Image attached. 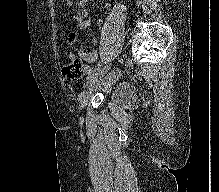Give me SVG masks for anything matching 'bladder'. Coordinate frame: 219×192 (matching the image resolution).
<instances>
[{
    "instance_id": "bladder-1",
    "label": "bladder",
    "mask_w": 219,
    "mask_h": 192,
    "mask_svg": "<svg viewBox=\"0 0 219 192\" xmlns=\"http://www.w3.org/2000/svg\"><path fill=\"white\" fill-rule=\"evenodd\" d=\"M105 100L122 110H130L136 103V93L131 84L117 81L106 94Z\"/></svg>"
}]
</instances>
